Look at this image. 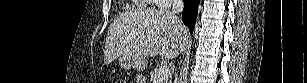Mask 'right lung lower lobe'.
<instances>
[{
  "mask_svg": "<svg viewBox=\"0 0 307 83\" xmlns=\"http://www.w3.org/2000/svg\"><path fill=\"white\" fill-rule=\"evenodd\" d=\"M200 0H184V10L182 13V21L192 33L197 17V10Z\"/></svg>",
  "mask_w": 307,
  "mask_h": 83,
  "instance_id": "1",
  "label": "right lung lower lobe"
}]
</instances>
